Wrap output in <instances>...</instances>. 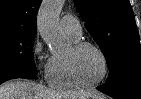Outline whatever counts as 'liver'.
Masks as SVG:
<instances>
[{
  "mask_svg": "<svg viewBox=\"0 0 141 99\" xmlns=\"http://www.w3.org/2000/svg\"><path fill=\"white\" fill-rule=\"evenodd\" d=\"M0 99H105L95 91H56L29 80H12L0 86Z\"/></svg>",
  "mask_w": 141,
  "mask_h": 99,
  "instance_id": "1",
  "label": "liver"
}]
</instances>
